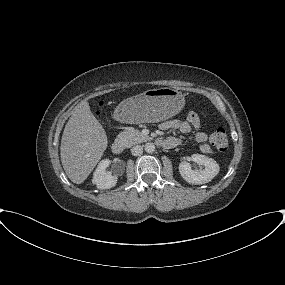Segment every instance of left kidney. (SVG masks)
Here are the masks:
<instances>
[{
	"label": "left kidney",
	"instance_id": "left-kidney-1",
	"mask_svg": "<svg viewBox=\"0 0 285 285\" xmlns=\"http://www.w3.org/2000/svg\"><path fill=\"white\" fill-rule=\"evenodd\" d=\"M192 160L204 169L192 170L190 163L184 161L179 164V172L182 178L190 184H205L210 182L218 173L219 165L217 162L205 155L193 154Z\"/></svg>",
	"mask_w": 285,
	"mask_h": 285
}]
</instances>
